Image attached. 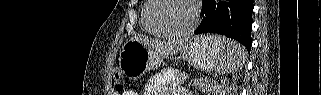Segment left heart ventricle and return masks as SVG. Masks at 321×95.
Instances as JSON below:
<instances>
[{
  "instance_id": "left-heart-ventricle-1",
  "label": "left heart ventricle",
  "mask_w": 321,
  "mask_h": 95,
  "mask_svg": "<svg viewBox=\"0 0 321 95\" xmlns=\"http://www.w3.org/2000/svg\"><path fill=\"white\" fill-rule=\"evenodd\" d=\"M149 16L156 27L166 30H184L192 21L191 8L182 0H159Z\"/></svg>"
}]
</instances>
